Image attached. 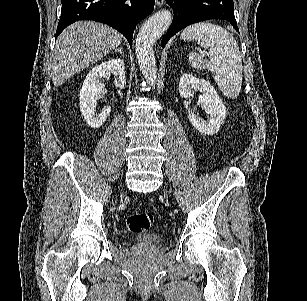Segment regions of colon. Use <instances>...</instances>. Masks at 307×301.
I'll return each instance as SVG.
<instances>
[{
	"label": "colon",
	"mask_w": 307,
	"mask_h": 301,
	"mask_svg": "<svg viewBox=\"0 0 307 301\" xmlns=\"http://www.w3.org/2000/svg\"><path fill=\"white\" fill-rule=\"evenodd\" d=\"M153 221L154 217L150 212L136 213L128 216L126 226L133 233H142L152 226Z\"/></svg>",
	"instance_id": "1"
}]
</instances>
